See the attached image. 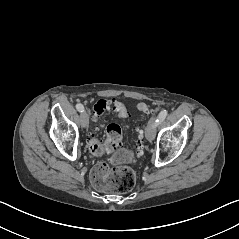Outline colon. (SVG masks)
I'll list each match as a JSON object with an SVG mask.
<instances>
[{
	"instance_id": "obj_1",
	"label": "colon",
	"mask_w": 239,
	"mask_h": 239,
	"mask_svg": "<svg viewBox=\"0 0 239 239\" xmlns=\"http://www.w3.org/2000/svg\"><path fill=\"white\" fill-rule=\"evenodd\" d=\"M112 107V100H99L93 107L95 124L101 116ZM137 108L144 113L154 112V109L145 103H139ZM117 114L120 118H124L127 112ZM137 133L139 141L137 149L133 153L125 149H120L122 129L116 123L107 125L104 141L98 140L94 132L90 134L88 145L93 154L103 155L105 153H113L110 165L99 163L91 172L92 182L97 189L118 194L127 193L132 190L136 182V174L134 170L127 165V162L139 157L143 152V130L139 128Z\"/></svg>"
}]
</instances>
